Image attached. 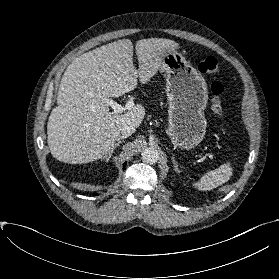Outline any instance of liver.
I'll use <instances>...</instances> for the list:
<instances>
[{"label": "liver", "instance_id": "1", "mask_svg": "<svg viewBox=\"0 0 279 279\" xmlns=\"http://www.w3.org/2000/svg\"><path fill=\"white\" fill-rule=\"evenodd\" d=\"M179 44L163 38L136 42L122 39L75 58L63 74L57 104L47 124V143L54 158L71 164L105 157L124 126L138 128L145 109L137 104L126 113L109 111L105 99L119 97L147 83L161 68L162 58Z\"/></svg>", "mask_w": 279, "mask_h": 279}]
</instances>
